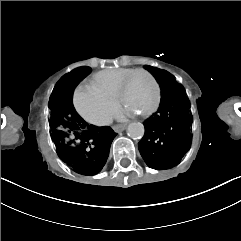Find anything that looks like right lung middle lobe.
<instances>
[{"mask_svg":"<svg viewBox=\"0 0 241 241\" xmlns=\"http://www.w3.org/2000/svg\"><path fill=\"white\" fill-rule=\"evenodd\" d=\"M88 69L91 70L89 67ZM67 75L68 74L61 77L56 83L48 103L50 108L49 125L52 132V140L55 144H71L74 141V135L68 127L64 109L65 103L72 102L73 95L68 92V86L66 84Z\"/></svg>","mask_w":241,"mask_h":241,"instance_id":"obj_1","label":"right lung middle lobe"}]
</instances>
